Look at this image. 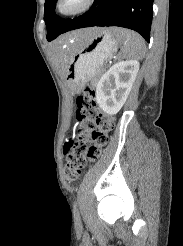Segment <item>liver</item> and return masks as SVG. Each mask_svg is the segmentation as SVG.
I'll return each mask as SVG.
<instances>
[{
	"label": "liver",
	"mask_w": 183,
	"mask_h": 246,
	"mask_svg": "<svg viewBox=\"0 0 183 246\" xmlns=\"http://www.w3.org/2000/svg\"><path fill=\"white\" fill-rule=\"evenodd\" d=\"M99 28H90V29H83L71 34L66 35L65 37L60 38L59 40L55 41L53 44V52L56 57L57 63L61 68V74L64 76L67 72V67L69 63V57L64 51V44L67 40L71 38H75L80 42H86L93 38V36L98 32Z\"/></svg>",
	"instance_id": "6515ba94"
}]
</instances>
